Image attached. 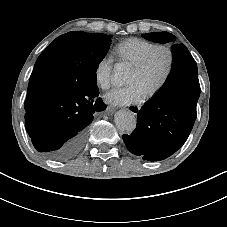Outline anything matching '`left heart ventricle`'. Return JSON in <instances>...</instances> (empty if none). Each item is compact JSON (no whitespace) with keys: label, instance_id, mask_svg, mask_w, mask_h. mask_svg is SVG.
<instances>
[{"label":"left heart ventricle","instance_id":"obj_1","mask_svg":"<svg viewBox=\"0 0 227 227\" xmlns=\"http://www.w3.org/2000/svg\"><path fill=\"white\" fill-rule=\"evenodd\" d=\"M165 68L166 56L163 53H158L145 71L137 73L132 70L128 83L138 84L146 92H148L161 80Z\"/></svg>","mask_w":227,"mask_h":227}]
</instances>
